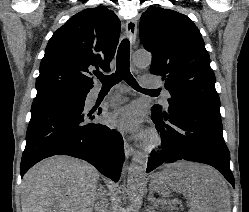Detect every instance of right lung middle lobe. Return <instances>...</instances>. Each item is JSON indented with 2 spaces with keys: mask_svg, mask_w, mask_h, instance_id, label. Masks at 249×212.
Instances as JSON below:
<instances>
[{
  "mask_svg": "<svg viewBox=\"0 0 249 212\" xmlns=\"http://www.w3.org/2000/svg\"><path fill=\"white\" fill-rule=\"evenodd\" d=\"M87 93L88 92H78V91L51 92L36 96L34 98V101H60V100L82 101L85 99Z\"/></svg>",
  "mask_w": 249,
  "mask_h": 212,
  "instance_id": "right-lung-middle-lobe-1",
  "label": "right lung middle lobe"
}]
</instances>
